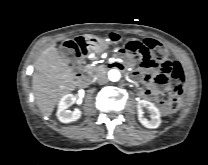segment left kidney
Returning <instances> with one entry per match:
<instances>
[{"mask_svg": "<svg viewBox=\"0 0 208 165\" xmlns=\"http://www.w3.org/2000/svg\"><path fill=\"white\" fill-rule=\"evenodd\" d=\"M147 109L150 112V120H147L143 114V109ZM137 110H138V120L140 123L149 129H155L158 128L161 124L160 119V112L158 108L151 102L146 100H139L137 103Z\"/></svg>", "mask_w": 208, "mask_h": 165, "instance_id": "1", "label": "left kidney"}]
</instances>
